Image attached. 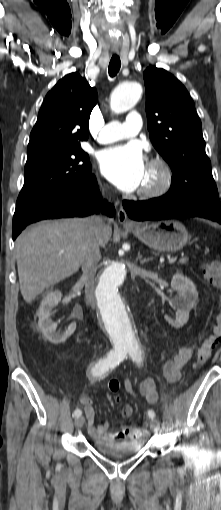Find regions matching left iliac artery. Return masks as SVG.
Wrapping results in <instances>:
<instances>
[{
    "label": "left iliac artery",
    "mask_w": 221,
    "mask_h": 510,
    "mask_svg": "<svg viewBox=\"0 0 221 510\" xmlns=\"http://www.w3.org/2000/svg\"><path fill=\"white\" fill-rule=\"evenodd\" d=\"M128 353L131 356L132 360L135 361L137 364H141L143 362V353L137 345L132 346ZM148 416L153 419L155 418L156 414L152 409H150L148 410Z\"/></svg>",
    "instance_id": "obj_1"
}]
</instances>
